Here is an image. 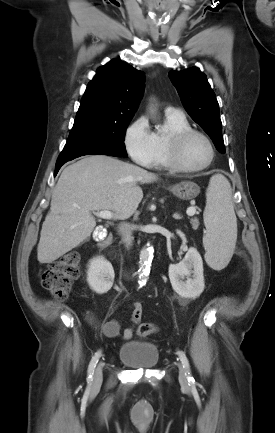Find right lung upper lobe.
I'll return each mask as SVG.
<instances>
[{
    "instance_id": "cb5924a9",
    "label": "right lung upper lobe",
    "mask_w": 275,
    "mask_h": 433,
    "mask_svg": "<svg viewBox=\"0 0 275 433\" xmlns=\"http://www.w3.org/2000/svg\"><path fill=\"white\" fill-rule=\"evenodd\" d=\"M144 73L118 59L97 69L75 121L131 119L143 94Z\"/></svg>"
}]
</instances>
